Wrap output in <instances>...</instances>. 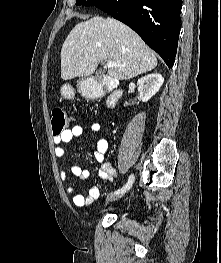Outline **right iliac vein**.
<instances>
[{"mask_svg": "<svg viewBox=\"0 0 221 263\" xmlns=\"http://www.w3.org/2000/svg\"><path fill=\"white\" fill-rule=\"evenodd\" d=\"M124 193H125V192H124ZM124 193L110 194V195L107 196L106 200H107L108 202L116 201V200L120 199V198L124 195Z\"/></svg>", "mask_w": 221, "mask_h": 263, "instance_id": "obj_1", "label": "right iliac vein"}]
</instances>
